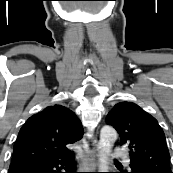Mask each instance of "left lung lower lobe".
I'll return each instance as SVG.
<instances>
[{
	"label": "left lung lower lobe",
	"instance_id": "obj_1",
	"mask_svg": "<svg viewBox=\"0 0 173 173\" xmlns=\"http://www.w3.org/2000/svg\"><path fill=\"white\" fill-rule=\"evenodd\" d=\"M121 173H154V172L148 170H141L138 168H129L128 171H123Z\"/></svg>",
	"mask_w": 173,
	"mask_h": 173
}]
</instances>
